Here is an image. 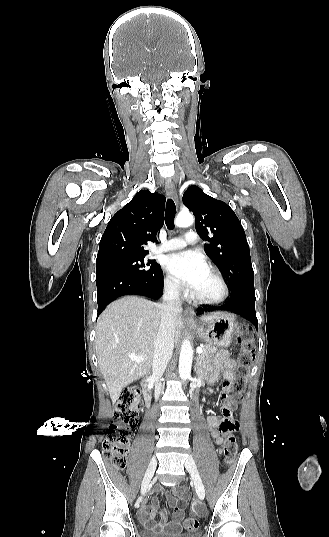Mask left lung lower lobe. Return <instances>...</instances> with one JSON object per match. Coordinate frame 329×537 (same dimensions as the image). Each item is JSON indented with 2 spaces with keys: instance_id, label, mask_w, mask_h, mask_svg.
<instances>
[{
  "instance_id": "0a47b994",
  "label": "left lung lower lobe",
  "mask_w": 329,
  "mask_h": 537,
  "mask_svg": "<svg viewBox=\"0 0 329 537\" xmlns=\"http://www.w3.org/2000/svg\"><path fill=\"white\" fill-rule=\"evenodd\" d=\"M223 310L241 315L248 322L258 327V320L255 312V296L249 294H241L235 297H230L228 301L217 308H210L205 311Z\"/></svg>"
}]
</instances>
